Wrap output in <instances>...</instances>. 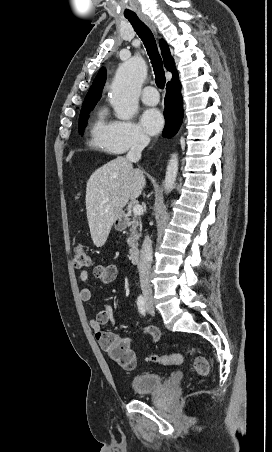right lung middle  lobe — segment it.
<instances>
[{
	"mask_svg": "<svg viewBox=\"0 0 272 452\" xmlns=\"http://www.w3.org/2000/svg\"><path fill=\"white\" fill-rule=\"evenodd\" d=\"M96 103L94 104H86V105H82V109L80 112V118H79V130L80 132H82L86 126L87 123V115L89 113L90 110H92L94 108Z\"/></svg>",
	"mask_w": 272,
	"mask_h": 452,
	"instance_id": "obj_1",
	"label": "right lung middle lobe"
}]
</instances>
